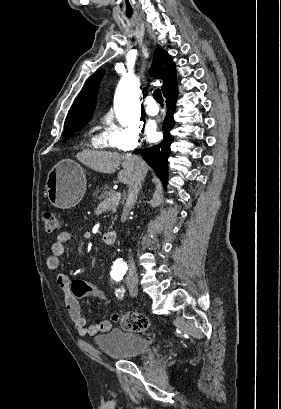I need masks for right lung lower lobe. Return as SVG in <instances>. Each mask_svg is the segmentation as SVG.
<instances>
[{"mask_svg":"<svg viewBox=\"0 0 281 409\" xmlns=\"http://www.w3.org/2000/svg\"><path fill=\"white\" fill-rule=\"evenodd\" d=\"M178 90L177 85L165 96L168 112L163 123L164 140L157 146L142 150V157L156 171V175L162 181L164 186L167 183L168 177V156L171 152L170 145L173 142V137L170 135V130L174 127L173 113L177 100Z\"/></svg>","mask_w":281,"mask_h":409,"instance_id":"right-lung-lower-lobe-1","label":"right lung lower lobe"}]
</instances>
